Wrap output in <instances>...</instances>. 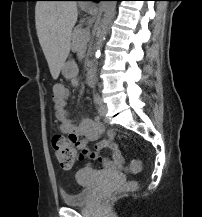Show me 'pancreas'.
I'll return each mask as SVG.
<instances>
[{
	"mask_svg": "<svg viewBox=\"0 0 202 217\" xmlns=\"http://www.w3.org/2000/svg\"><path fill=\"white\" fill-rule=\"evenodd\" d=\"M90 33L86 29L75 28L72 34V50L79 52L89 41Z\"/></svg>",
	"mask_w": 202,
	"mask_h": 217,
	"instance_id": "pancreas-1",
	"label": "pancreas"
}]
</instances>
